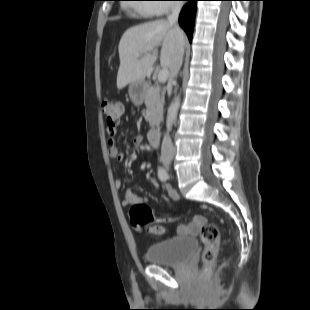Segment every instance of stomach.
<instances>
[{"label":"stomach","mask_w":310,"mask_h":310,"mask_svg":"<svg viewBox=\"0 0 310 310\" xmlns=\"http://www.w3.org/2000/svg\"><path fill=\"white\" fill-rule=\"evenodd\" d=\"M146 86L144 81H134L129 84L128 93L132 102L140 105L145 96Z\"/></svg>","instance_id":"obj_1"}]
</instances>
